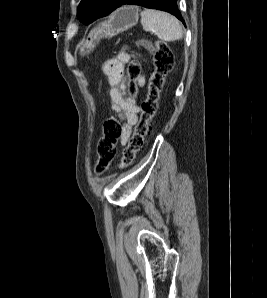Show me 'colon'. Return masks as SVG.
<instances>
[{"mask_svg":"<svg viewBox=\"0 0 267 298\" xmlns=\"http://www.w3.org/2000/svg\"><path fill=\"white\" fill-rule=\"evenodd\" d=\"M141 45L152 52L154 70L149 81L146 99L142 103L140 119L127 146L123 150V156L119 165L121 169L129 167L134 161L136 154L143 148L151 121L157 111L158 100L165 78L171 71L174 63L172 51L166 43L143 41ZM139 74V66L136 63H131L127 68V75L129 78V96L132 98L137 94L136 80ZM120 119H122L120 116H111L105 122L104 131L97 145L96 170L99 173L105 172L115 157L120 138Z\"/></svg>","mask_w":267,"mask_h":298,"instance_id":"5ec220e1","label":"colon"}]
</instances>
